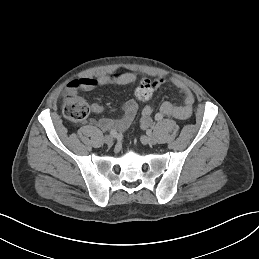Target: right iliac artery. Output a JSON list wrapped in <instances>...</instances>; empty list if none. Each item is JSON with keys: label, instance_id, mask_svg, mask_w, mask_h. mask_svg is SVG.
<instances>
[{"label": "right iliac artery", "instance_id": "1", "mask_svg": "<svg viewBox=\"0 0 259 259\" xmlns=\"http://www.w3.org/2000/svg\"><path fill=\"white\" fill-rule=\"evenodd\" d=\"M110 135H111L112 137H117V132L114 131V130H111V131H110Z\"/></svg>", "mask_w": 259, "mask_h": 259}]
</instances>
